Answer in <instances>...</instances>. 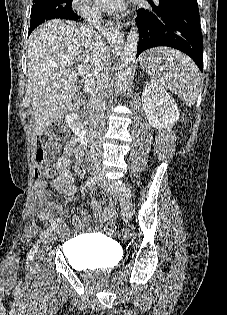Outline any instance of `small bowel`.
Here are the masks:
<instances>
[{
    "label": "small bowel",
    "mask_w": 227,
    "mask_h": 315,
    "mask_svg": "<svg viewBox=\"0 0 227 315\" xmlns=\"http://www.w3.org/2000/svg\"><path fill=\"white\" fill-rule=\"evenodd\" d=\"M82 159V151L74 143L70 144L63 155L56 158V173L50 180V184L56 192L63 193L69 197L74 195V191L68 188V185L74 179L69 165L71 160H73L77 168L80 166ZM34 193L39 206L43 208V219L51 221L55 216L62 213V206L59 203L49 201V193L45 190L44 183H36ZM89 209L93 213L98 214L101 221L112 219L115 213V207L112 204L104 206L102 202L97 200H93L89 203ZM75 222L79 223V220L75 219Z\"/></svg>",
    "instance_id": "c3829d8e"
}]
</instances>
